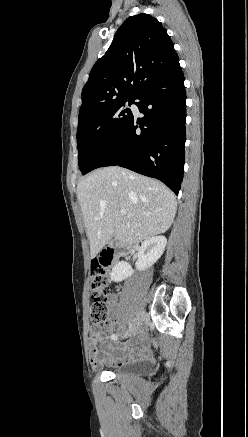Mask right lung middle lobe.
Masks as SVG:
<instances>
[{
	"mask_svg": "<svg viewBox=\"0 0 248 437\" xmlns=\"http://www.w3.org/2000/svg\"><path fill=\"white\" fill-rule=\"evenodd\" d=\"M135 98L121 100L84 120L78 125L77 146L82 174L91 171L95 161L109 149L133 118L129 105Z\"/></svg>",
	"mask_w": 248,
	"mask_h": 437,
	"instance_id": "1",
	"label": "right lung middle lobe"
}]
</instances>
